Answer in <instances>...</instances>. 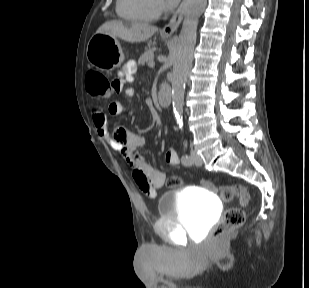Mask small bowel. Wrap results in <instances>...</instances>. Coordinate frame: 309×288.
<instances>
[{"mask_svg":"<svg viewBox=\"0 0 309 288\" xmlns=\"http://www.w3.org/2000/svg\"><path fill=\"white\" fill-rule=\"evenodd\" d=\"M115 82L120 83L121 88L126 84V74L120 73ZM134 91L131 88L126 90V95L131 97ZM93 121L98 134L105 139L110 146L119 152L124 161L129 165L132 171V177L139 188L149 197H154L157 190L162 188L165 175L154 168L139 153V147L144 144V139L131 131L123 128L111 130L108 122V115L99 106L91 109ZM108 113L111 116L120 114L130 115L131 112L126 110L120 102H111L108 106ZM164 159L169 166H176L179 163V157L173 147H169L164 155Z\"/></svg>","mask_w":309,"mask_h":288,"instance_id":"c3829d8e","label":"small bowel"}]
</instances>
